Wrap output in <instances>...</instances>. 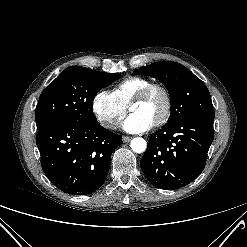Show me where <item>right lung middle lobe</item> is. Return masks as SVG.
Returning <instances> with one entry per match:
<instances>
[{
	"label": "right lung middle lobe",
	"instance_id": "obj_1",
	"mask_svg": "<svg viewBox=\"0 0 247 247\" xmlns=\"http://www.w3.org/2000/svg\"><path fill=\"white\" fill-rule=\"evenodd\" d=\"M119 78L116 73L81 66L65 69L40 95L35 111L37 128L63 120L97 121L93 113L95 95Z\"/></svg>",
	"mask_w": 247,
	"mask_h": 247
}]
</instances>
